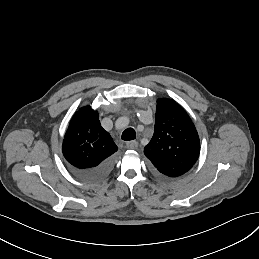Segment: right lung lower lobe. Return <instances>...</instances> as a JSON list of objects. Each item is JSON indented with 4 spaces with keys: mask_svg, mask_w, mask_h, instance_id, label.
<instances>
[{
    "mask_svg": "<svg viewBox=\"0 0 259 259\" xmlns=\"http://www.w3.org/2000/svg\"><path fill=\"white\" fill-rule=\"evenodd\" d=\"M115 164L114 156L106 159L101 164L93 168L80 169L70 166V171L84 181H97L110 173Z\"/></svg>",
    "mask_w": 259,
    "mask_h": 259,
    "instance_id": "right-lung-lower-lobe-1",
    "label": "right lung lower lobe"
}]
</instances>
